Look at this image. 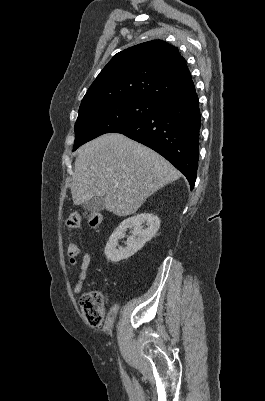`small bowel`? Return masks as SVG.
Returning <instances> with one entry per match:
<instances>
[{"label": "small bowel", "mask_w": 265, "mask_h": 401, "mask_svg": "<svg viewBox=\"0 0 265 401\" xmlns=\"http://www.w3.org/2000/svg\"><path fill=\"white\" fill-rule=\"evenodd\" d=\"M92 260V255L90 252H86L82 255L81 263L77 264L76 257H70L69 263L72 266L74 272L77 274L78 279L74 286V293L76 295L80 294L84 288V283L87 278V272Z\"/></svg>", "instance_id": "c3829d8e"}]
</instances>
